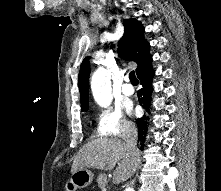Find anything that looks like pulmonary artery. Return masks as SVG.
Wrapping results in <instances>:
<instances>
[{
  "mask_svg": "<svg viewBox=\"0 0 221 191\" xmlns=\"http://www.w3.org/2000/svg\"><path fill=\"white\" fill-rule=\"evenodd\" d=\"M126 81H128L127 78H126ZM122 93L126 96H131L134 93V87L129 83H125L122 86Z\"/></svg>",
  "mask_w": 221,
  "mask_h": 191,
  "instance_id": "e3ab8cb5",
  "label": "pulmonary artery"
}]
</instances>
